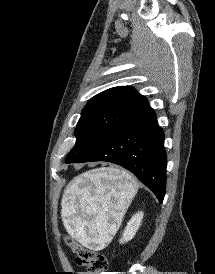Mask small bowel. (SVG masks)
Masks as SVG:
<instances>
[{"instance_id": "obj_1", "label": "small bowel", "mask_w": 215, "mask_h": 274, "mask_svg": "<svg viewBox=\"0 0 215 274\" xmlns=\"http://www.w3.org/2000/svg\"><path fill=\"white\" fill-rule=\"evenodd\" d=\"M79 274H87V272H80Z\"/></svg>"}]
</instances>
